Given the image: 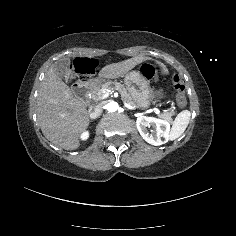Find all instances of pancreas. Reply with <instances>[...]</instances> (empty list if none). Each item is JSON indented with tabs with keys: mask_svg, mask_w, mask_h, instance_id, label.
Wrapping results in <instances>:
<instances>
[{
	"mask_svg": "<svg viewBox=\"0 0 236 236\" xmlns=\"http://www.w3.org/2000/svg\"><path fill=\"white\" fill-rule=\"evenodd\" d=\"M118 90L121 94V101L124 104H128V105H135L136 103L134 102V100L132 99V97L130 96L129 92L127 91V89L118 82H106L104 84L98 85L93 87L89 93L91 95V99L93 101H102L104 99V96L106 95L104 93V90ZM176 110H165L159 113V117L167 120V121H172V117L175 115Z\"/></svg>",
	"mask_w": 236,
	"mask_h": 236,
	"instance_id": "1",
	"label": "pancreas"
}]
</instances>
